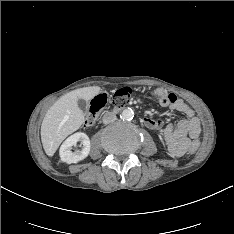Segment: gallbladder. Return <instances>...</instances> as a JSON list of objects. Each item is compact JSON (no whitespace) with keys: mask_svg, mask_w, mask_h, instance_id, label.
<instances>
[{"mask_svg":"<svg viewBox=\"0 0 234 234\" xmlns=\"http://www.w3.org/2000/svg\"><path fill=\"white\" fill-rule=\"evenodd\" d=\"M78 106L83 112L87 110V102L83 99L78 100Z\"/></svg>","mask_w":234,"mask_h":234,"instance_id":"obj_1","label":"gallbladder"}]
</instances>
